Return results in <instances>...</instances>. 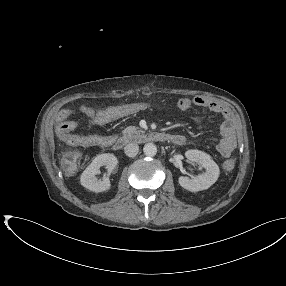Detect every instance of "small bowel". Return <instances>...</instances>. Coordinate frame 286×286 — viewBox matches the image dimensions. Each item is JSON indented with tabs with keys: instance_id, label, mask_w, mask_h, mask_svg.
<instances>
[{
	"instance_id": "1",
	"label": "small bowel",
	"mask_w": 286,
	"mask_h": 286,
	"mask_svg": "<svg viewBox=\"0 0 286 286\" xmlns=\"http://www.w3.org/2000/svg\"><path fill=\"white\" fill-rule=\"evenodd\" d=\"M177 106L180 110H187L192 106H196L222 116L224 119L221 125L222 139L217 144V150L223 157L227 158L231 155L236 147V131L235 123L227 106L201 96L180 98ZM146 108V104H128L99 110L93 105L82 104L79 106V112L89 118L92 126H100ZM107 111H111L110 116H106ZM73 117L74 114L70 110H60L56 114V121L58 122L57 133L64 142L80 148L109 147L112 145L115 135L74 134L73 130L76 128L77 122Z\"/></svg>"
}]
</instances>
